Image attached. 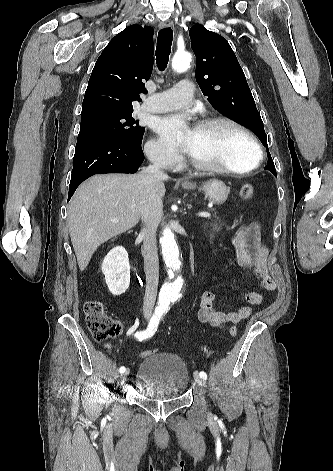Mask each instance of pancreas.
Returning a JSON list of instances; mask_svg holds the SVG:
<instances>
[{
    "label": "pancreas",
    "mask_w": 333,
    "mask_h": 471,
    "mask_svg": "<svg viewBox=\"0 0 333 471\" xmlns=\"http://www.w3.org/2000/svg\"><path fill=\"white\" fill-rule=\"evenodd\" d=\"M225 225L221 220H212L211 222H205L204 228L207 229L211 234L220 232L222 226Z\"/></svg>",
    "instance_id": "1"
}]
</instances>
